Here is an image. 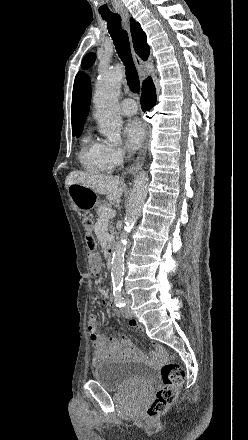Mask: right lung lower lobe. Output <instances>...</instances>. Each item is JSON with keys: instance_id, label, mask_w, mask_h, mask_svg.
I'll return each instance as SVG.
<instances>
[{"instance_id": "obj_1", "label": "right lung lower lobe", "mask_w": 248, "mask_h": 440, "mask_svg": "<svg viewBox=\"0 0 248 440\" xmlns=\"http://www.w3.org/2000/svg\"><path fill=\"white\" fill-rule=\"evenodd\" d=\"M156 103L155 86L151 78L146 79L142 85L141 106L142 110H150Z\"/></svg>"}]
</instances>
